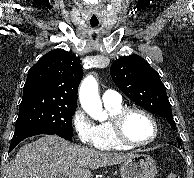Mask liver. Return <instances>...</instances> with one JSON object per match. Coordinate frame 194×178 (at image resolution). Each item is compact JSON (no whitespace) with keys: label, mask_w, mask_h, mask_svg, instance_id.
I'll return each instance as SVG.
<instances>
[{"label":"liver","mask_w":194,"mask_h":178,"mask_svg":"<svg viewBox=\"0 0 194 178\" xmlns=\"http://www.w3.org/2000/svg\"><path fill=\"white\" fill-rule=\"evenodd\" d=\"M135 155L101 152L45 135L20 148L9 165L7 178H91V170L123 163Z\"/></svg>","instance_id":"liver-1"}]
</instances>
